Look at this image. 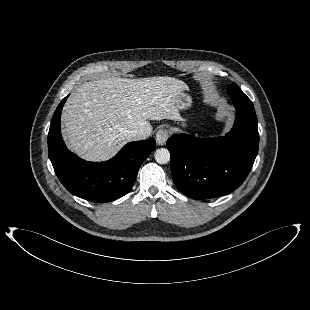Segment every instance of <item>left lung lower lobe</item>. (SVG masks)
<instances>
[{
    "label": "left lung lower lobe",
    "mask_w": 310,
    "mask_h": 310,
    "mask_svg": "<svg viewBox=\"0 0 310 310\" xmlns=\"http://www.w3.org/2000/svg\"><path fill=\"white\" fill-rule=\"evenodd\" d=\"M237 116L222 137L175 134L167 140L175 185L193 199L215 198L237 189L255 161L259 133L255 109L245 95H234Z\"/></svg>",
    "instance_id": "1"
}]
</instances>
